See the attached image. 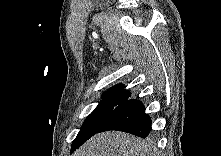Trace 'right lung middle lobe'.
<instances>
[{
	"label": "right lung middle lobe",
	"instance_id": "obj_1",
	"mask_svg": "<svg viewBox=\"0 0 221 156\" xmlns=\"http://www.w3.org/2000/svg\"><path fill=\"white\" fill-rule=\"evenodd\" d=\"M121 103H123V101L120 99H104L101 101L95 110L86 118L80 132L72 143L71 151L77 149L80 145L97 133L110 113Z\"/></svg>",
	"mask_w": 221,
	"mask_h": 156
}]
</instances>
